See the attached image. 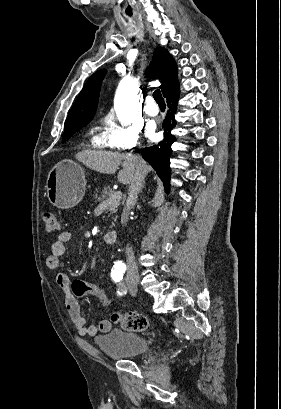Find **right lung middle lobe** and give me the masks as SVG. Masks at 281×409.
I'll use <instances>...</instances> for the list:
<instances>
[{
    "instance_id": "obj_1",
    "label": "right lung middle lobe",
    "mask_w": 281,
    "mask_h": 409,
    "mask_svg": "<svg viewBox=\"0 0 281 409\" xmlns=\"http://www.w3.org/2000/svg\"><path fill=\"white\" fill-rule=\"evenodd\" d=\"M83 126L85 125L65 127L62 142L67 141L76 131L81 129Z\"/></svg>"
}]
</instances>
